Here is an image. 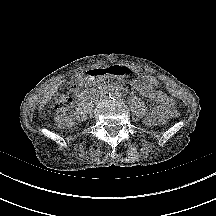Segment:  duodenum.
Wrapping results in <instances>:
<instances>
[{"label":"duodenum","instance_id":"obj_1","mask_svg":"<svg viewBox=\"0 0 216 216\" xmlns=\"http://www.w3.org/2000/svg\"><path fill=\"white\" fill-rule=\"evenodd\" d=\"M110 89V87H102L100 88L98 91H88V92H84L82 93L79 98L82 100H89L93 97H96L97 95L106 92Z\"/></svg>","mask_w":216,"mask_h":216}]
</instances>
